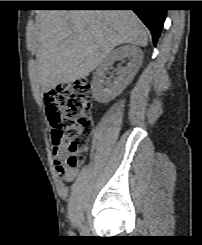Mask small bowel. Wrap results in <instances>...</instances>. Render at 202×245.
<instances>
[{
    "instance_id": "obj_1",
    "label": "small bowel",
    "mask_w": 202,
    "mask_h": 245,
    "mask_svg": "<svg viewBox=\"0 0 202 245\" xmlns=\"http://www.w3.org/2000/svg\"><path fill=\"white\" fill-rule=\"evenodd\" d=\"M44 102L46 104L47 112L49 118L52 120L54 115V109L56 106V95L54 91L48 92L44 97ZM64 144L59 143L57 145H52L51 151L54 159V167L58 176L65 182L69 183L73 181L78 173L77 167H69L66 164V157L64 154Z\"/></svg>"
}]
</instances>
